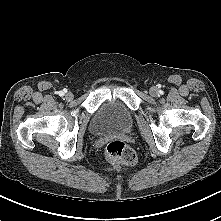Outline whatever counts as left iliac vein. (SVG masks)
I'll return each instance as SVG.
<instances>
[{
  "label": "left iliac vein",
  "instance_id": "obj_1",
  "mask_svg": "<svg viewBox=\"0 0 221 221\" xmlns=\"http://www.w3.org/2000/svg\"><path fill=\"white\" fill-rule=\"evenodd\" d=\"M149 93H150V95L153 96V97H156V96L159 94L158 89H157V87H155V86H153V87L150 88Z\"/></svg>",
  "mask_w": 221,
  "mask_h": 221
}]
</instances>
